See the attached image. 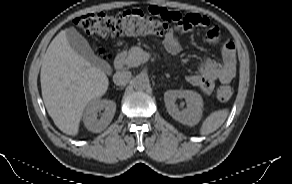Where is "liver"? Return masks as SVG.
<instances>
[{
    "label": "liver",
    "instance_id": "liver-1",
    "mask_svg": "<svg viewBox=\"0 0 292 184\" xmlns=\"http://www.w3.org/2000/svg\"><path fill=\"white\" fill-rule=\"evenodd\" d=\"M40 82L48 114L65 134L75 136L90 101L108 89L107 75L75 52L62 30L43 58Z\"/></svg>",
    "mask_w": 292,
    "mask_h": 184
}]
</instances>
